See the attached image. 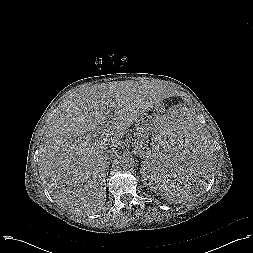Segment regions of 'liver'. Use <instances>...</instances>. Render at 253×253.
Returning a JSON list of instances; mask_svg holds the SVG:
<instances>
[{
	"label": "liver",
	"instance_id": "obj_1",
	"mask_svg": "<svg viewBox=\"0 0 253 253\" xmlns=\"http://www.w3.org/2000/svg\"><path fill=\"white\" fill-rule=\"evenodd\" d=\"M160 93V86L133 81L97 84L61 107L45 130L38 161L58 205L93 213L105 203L108 147L121 143Z\"/></svg>",
	"mask_w": 253,
	"mask_h": 253
}]
</instances>
